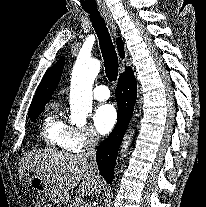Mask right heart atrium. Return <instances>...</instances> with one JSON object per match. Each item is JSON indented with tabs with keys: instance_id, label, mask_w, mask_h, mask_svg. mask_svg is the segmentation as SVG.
<instances>
[{
	"instance_id": "right-heart-atrium-1",
	"label": "right heart atrium",
	"mask_w": 206,
	"mask_h": 207,
	"mask_svg": "<svg viewBox=\"0 0 206 207\" xmlns=\"http://www.w3.org/2000/svg\"><path fill=\"white\" fill-rule=\"evenodd\" d=\"M98 143V136L91 127L69 125L67 145L69 150L82 151L90 149Z\"/></svg>"
}]
</instances>
